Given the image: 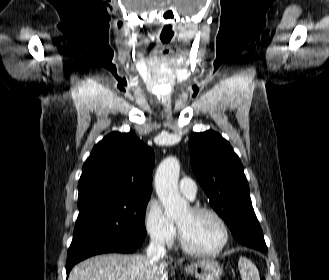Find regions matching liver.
Returning a JSON list of instances; mask_svg holds the SVG:
<instances>
[{"label": "liver", "mask_w": 329, "mask_h": 280, "mask_svg": "<svg viewBox=\"0 0 329 280\" xmlns=\"http://www.w3.org/2000/svg\"><path fill=\"white\" fill-rule=\"evenodd\" d=\"M165 259L151 261L143 255L105 254L76 265L68 280H168Z\"/></svg>", "instance_id": "obj_1"}]
</instances>
